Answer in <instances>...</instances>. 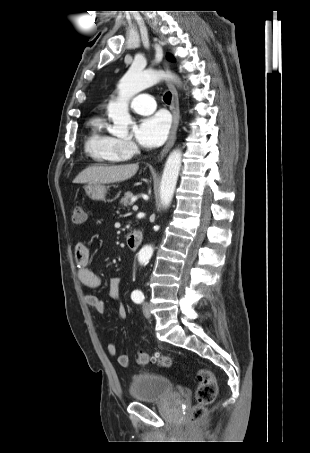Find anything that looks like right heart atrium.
Listing matches in <instances>:
<instances>
[{"label": "right heart atrium", "mask_w": 310, "mask_h": 453, "mask_svg": "<svg viewBox=\"0 0 310 453\" xmlns=\"http://www.w3.org/2000/svg\"><path fill=\"white\" fill-rule=\"evenodd\" d=\"M120 146L127 156H132L137 152V146L131 140H120Z\"/></svg>", "instance_id": "d8ad5b80"}]
</instances>
